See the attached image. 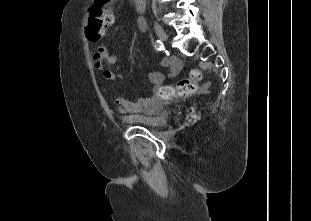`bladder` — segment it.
Segmentation results:
<instances>
[{"instance_id":"1","label":"bladder","mask_w":311,"mask_h":221,"mask_svg":"<svg viewBox=\"0 0 311 221\" xmlns=\"http://www.w3.org/2000/svg\"><path fill=\"white\" fill-rule=\"evenodd\" d=\"M133 117L137 124L153 127L164 126L169 120L164 103L153 104L147 111L134 114Z\"/></svg>"}]
</instances>
